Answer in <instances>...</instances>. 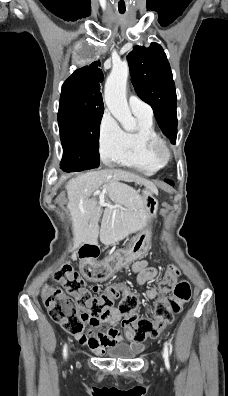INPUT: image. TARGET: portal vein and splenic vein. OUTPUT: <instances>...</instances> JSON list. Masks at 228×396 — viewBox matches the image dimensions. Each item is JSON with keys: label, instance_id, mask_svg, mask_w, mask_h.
Listing matches in <instances>:
<instances>
[{"label": "portal vein and splenic vein", "instance_id": "portal-vein-and-splenic-vein-1", "mask_svg": "<svg viewBox=\"0 0 228 396\" xmlns=\"http://www.w3.org/2000/svg\"><path fill=\"white\" fill-rule=\"evenodd\" d=\"M105 190L103 191H96L94 192L93 196H99L100 200L103 201L104 199Z\"/></svg>", "mask_w": 228, "mask_h": 396}]
</instances>
